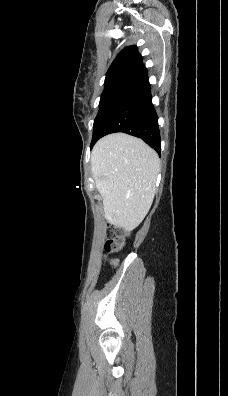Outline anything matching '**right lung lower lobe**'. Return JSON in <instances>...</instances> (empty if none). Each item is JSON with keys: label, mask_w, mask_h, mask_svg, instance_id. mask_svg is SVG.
<instances>
[{"label": "right lung lower lobe", "mask_w": 228, "mask_h": 396, "mask_svg": "<svg viewBox=\"0 0 228 396\" xmlns=\"http://www.w3.org/2000/svg\"><path fill=\"white\" fill-rule=\"evenodd\" d=\"M115 132L139 137L160 154L158 117L147 73L126 86L108 105L94 127L90 148L104 135Z\"/></svg>", "instance_id": "right-lung-lower-lobe-1"}]
</instances>
